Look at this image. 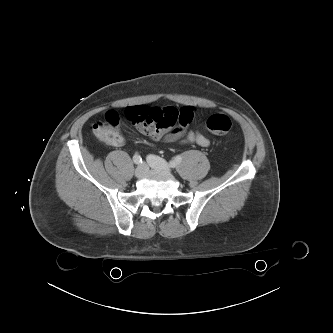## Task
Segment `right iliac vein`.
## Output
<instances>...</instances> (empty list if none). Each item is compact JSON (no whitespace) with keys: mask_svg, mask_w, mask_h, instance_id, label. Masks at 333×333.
Segmentation results:
<instances>
[{"mask_svg":"<svg viewBox=\"0 0 333 333\" xmlns=\"http://www.w3.org/2000/svg\"><path fill=\"white\" fill-rule=\"evenodd\" d=\"M146 168L145 164H140L135 170V176L138 178L142 177L146 172Z\"/></svg>","mask_w":333,"mask_h":333,"instance_id":"right-iliac-vein-1","label":"right iliac vein"}]
</instances>
